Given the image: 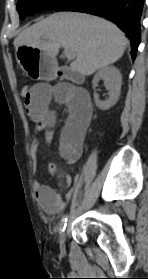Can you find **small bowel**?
I'll use <instances>...</instances> for the list:
<instances>
[{
	"label": "small bowel",
	"mask_w": 148,
	"mask_h": 279,
	"mask_svg": "<svg viewBox=\"0 0 148 279\" xmlns=\"http://www.w3.org/2000/svg\"><path fill=\"white\" fill-rule=\"evenodd\" d=\"M52 102L65 104L70 110L60 135L59 153L67 163L74 164L82 156L86 132L92 118L90 97L84 90L70 84L37 83L31 87L30 95L25 99V108L36 132L44 134L47 141L52 140L56 125V115L51 109ZM38 148L39 141L34 139L31 151L35 154ZM48 170L56 174L63 185L72 184V178L60 168L49 164ZM33 189L40 207L46 212H60L73 194L70 189L65 195H60L51 186L39 180L34 182Z\"/></svg>",
	"instance_id": "obj_1"
}]
</instances>
